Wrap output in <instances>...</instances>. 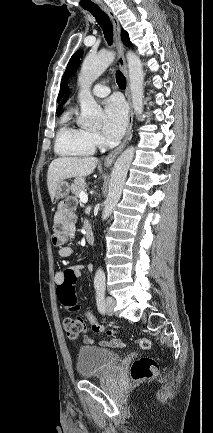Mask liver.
Returning a JSON list of instances; mask_svg holds the SVG:
<instances>
[{"mask_svg":"<svg viewBox=\"0 0 213 433\" xmlns=\"http://www.w3.org/2000/svg\"><path fill=\"white\" fill-rule=\"evenodd\" d=\"M97 162L96 157H59L54 159L47 172V186L51 199H54L56 188L62 181L92 174Z\"/></svg>","mask_w":213,"mask_h":433,"instance_id":"6515ba94","label":"liver"}]
</instances>
